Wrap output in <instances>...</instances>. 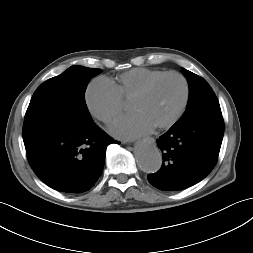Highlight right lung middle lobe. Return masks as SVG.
I'll use <instances>...</instances> for the list:
<instances>
[{
	"mask_svg": "<svg viewBox=\"0 0 253 253\" xmlns=\"http://www.w3.org/2000/svg\"><path fill=\"white\" fill-rule=\"evenodd\" d=\"M101 72V69L76 65L42 83L25 114L24 143L59 126L92 123L85 91L89 80Z\"/></svg>",
	"mask_w": 253,
	"mask_h": 253,
	"instance_id": "dd1d6c3e",
	"label": "right lung middle lobe"
}]
</instances>
